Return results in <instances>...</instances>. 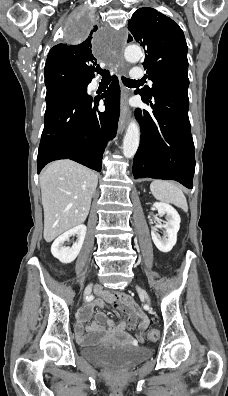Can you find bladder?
Segmentation results:
<instances>
[{
  "instance_id": "obj_1",
  "label": "bladder",
  "mask_w": 228,
  "mask_h": 396,
  "mask_svg": "<svg viewBox=\"0 0 228 396\" xmlns=\"http://www.w3.org/2000/svg\"><path fill=\"white\" fill-rule=\"evenodd\" d=\"M152 351L148 347L100 344L81 350L82 356L97 365L130 366L145 360Z\"/></svg>"
}]
</instances>
